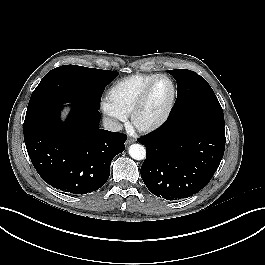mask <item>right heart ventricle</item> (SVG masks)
<instances>
[{
  "label": "right heart ventricle",
  "instance_id": "obj_1",
  "mask_svg": "<svg viewBox=\"0 0 265 265\" xmlns=\"http://www.w3.org/2000/svg\"><path fill=\"white\" fill-rule=\"evenodd\" d=\"M155 76L137 74L117 81L107 92L106 105L123 117L129 116L143 89Z\"/></svg>",
  "mask_w": 265,
  "mask_h": 265
}]
</instances>
